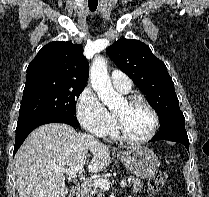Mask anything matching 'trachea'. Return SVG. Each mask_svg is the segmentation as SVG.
<instances>
[{"mask_svg":"<svg viewBox=\"0 0 209 197\" xmlns=\"http://www.w3.org/2000/svg\"><path fill=\"white\" fill-rule=\"evenodd\" d=\"M98 0H90L88 1V7L91 12H94L97 9Z\"/></svg>","mask_w":209,"mask_h":197,"instance_id":"obj_1","label":"trachea"}]
</instances>
